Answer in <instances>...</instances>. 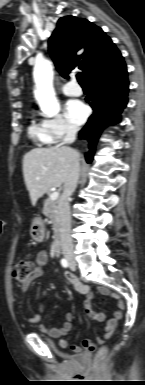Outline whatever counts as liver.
<instances>
[{
  "label": "liver",
  "instance_id": "1",
  "mask_svg": "<svg viewBox=\"0 0 145 385\" xmlns=\"http://www.w3.org/2000/svg\"><path fill=\"white\" fill-rule=\"evenodd\" d=\"M74 161H80L79 153L61 145L34 148L25 154L23 176L32 205L50 188L64 184Z\"/></svg>",
  "mask_w": 145,
  "mask_h": 385
}]
</instances>
